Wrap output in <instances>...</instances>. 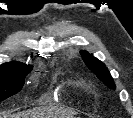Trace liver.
I'll list each match as a JSON object with an SVG mask.
<instances>
[{
  "mask_svg": "<svg viewBox=\"0 0 133 118\" xmlns=\"http://www.w3.org/2000/svg\"><path fill=\"white\" fill-rule=\"evenodd\" d=\"M1 115H3L1 113ZM76 112L56 107H39L32 110L13 114L10 118H73ZM4 118H9L5 115Z\"/></svg>",
  "mask_w": 133,
  "mask_h": 118,
  "instance_id": "liver-1",
  "label": "liver"
}]
</instances>
